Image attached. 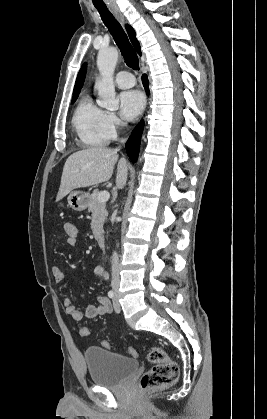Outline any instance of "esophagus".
I'll use <instances>...</instances> for the list:
<instances>
[{
    "mask_svg": "<svg viewBox=\"0 0 267 419\" xmlns=\"http://www.w3.org/2000/svg\"><path fill=\"white\" fill-rule=\"evenodd\" d=\"M112 10H113V12H114V14L122 21V22H124V19H123V16H122V14L120 13V11L116 8V7H113L112 8Z\"/></svg>",
    "mask_w": 267,
    "mask_h": 419,
    "instance_id": "obj_1",
    "label": "esophagus"
}]
</instances>
